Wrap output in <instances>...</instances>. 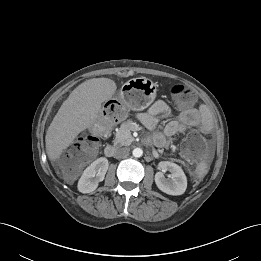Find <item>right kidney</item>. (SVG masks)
Here are the masks:
<instances>
[{
	"instance_id": "obj_1",
	"label": "right kidney",
	"mask_w": 261,
	"mask_h": 261,
	"mask_svg": "<svg viewBox=\"0 0 261 261\" xmlns=\"http://www.w3.org/2000/svg\"><path fill=\"white\" fill-rule=\"evenodd\" d=\"M108 167L109 162L105 157L98 158L91 163L78 181V190L81 193L93 192L98 187L99 182L104 180Z\"/></svg>"
}]
</instances>
